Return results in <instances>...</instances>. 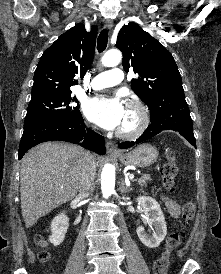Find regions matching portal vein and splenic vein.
<instances>
[{
	"instance_id": "obj_1",
	"label": "portal vein and splenic vein",
	"mask_w": 221,
	"mask_h": 274,
	"mask_svg": "<svg viewBox=\"0 0 221 274\" xmlns=\"http://www.w3.org/2000/svg\"><path fill=\"white\" fill-rule=\"evenodd\" d=\"M129 179H130V180H133V179H134V175L131 174V175L129 176Z\"/></svg>"
}]
</instances>
